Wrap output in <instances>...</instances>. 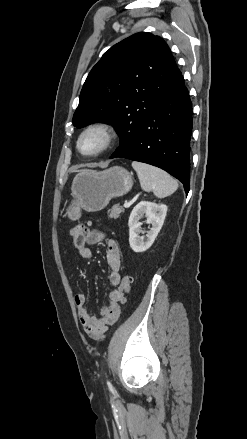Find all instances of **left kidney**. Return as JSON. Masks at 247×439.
I'll use <instances>...</instances> for the list:
<instances>
[{"label": "left kidney", "mask_w": 247, "mask_h": 439, "mask_svg": "<svg viewBox=\"0 0 247 439\" xmlns=\"http://www.w3.org/2000/svg\"><path fill=\"white\" fill-rule=\"evenodd\" d=\"M166 213V205L154 202L141 201L134 207L128 221L129 244L134 252H144L152 246L163 226ZM144 214L147 218L146 223L152 225L146 238L145 236H139L140 233H143L140 219Z\"/></svg>", "instance_id": "5707ae66"}]
</instances>
